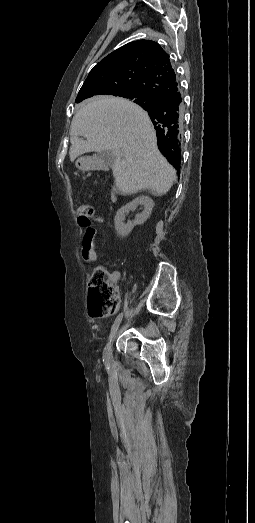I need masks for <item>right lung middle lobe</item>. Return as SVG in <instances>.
I'll return each mask as SVG.
<instances>
[{"instance_id": "dd1d6c3e", "label": "right lung middle lobe", "mask_w": 255, "mask_h": 523, "mask_svg": "<svg viewBox=\"0 0 255 523\" xmlns=\"http://www.w3.org/2000/svg\"><path fill=\"white\" fill-rule=\"evenodd\" d=\"M116 96L131 99L135 103L141 102V106L144 109H151L154 106V99L151 96H148V94L143 91L129 90L117 94Z\"/></svg>"}]
</instances>
